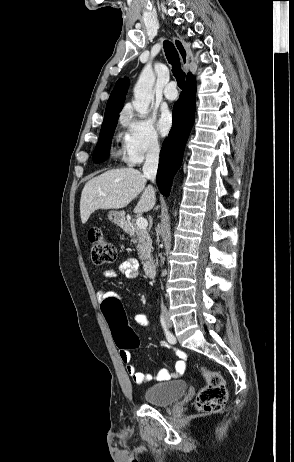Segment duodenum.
<instances>
[{
    "instance_id": "obj_1",
    "label": "duodenum",
    "mask_w": 294,
    "mask_h": 462,
    "mask_svg": "<svg viewBox=\"0 0 294 462\" xmlns=\"http://www.w3.org/2000/svg\"><path fill=\"white\" fill-rule=\"evenodd\" d=\"M122 227L124 229H128L129 226L125 223H122ZM144 273L147 277H153L155 276V273H156V266H155V262L151 259H148L145 261L144 263Z\"/></svg>"
}]
</instances>
